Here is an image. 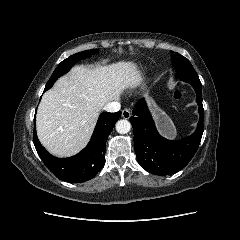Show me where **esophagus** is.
Wrapping results in <instances>:
<instances>
[{"label": "esophagus", "mask_w": 240, "mask_h": 240, "mask_svg": "<svg viewBox=\"0 0 240 240\" xmlns=\"http://www.w3.org/2000/svg\"><path fill=\"white\" fill-rule=\"evenodd\" d=\"M122 117L124 119H129L131 117V111L127 108L122 110Z\"/></svg>", "instance_id": "1"}]
</instances>
